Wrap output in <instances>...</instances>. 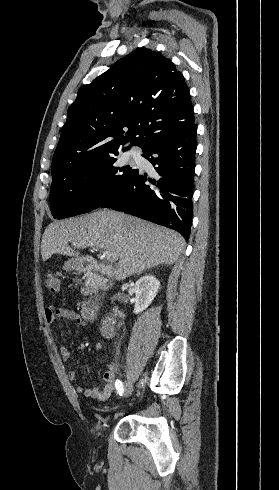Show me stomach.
I'll list each match as a JSON object with an SVG mask.
<instances>
[{
  "mask_svg": "<svg viewBox=\"0 0 279 490\" xmlns=\"http://www.w3.org/2000/svg\"><path fill=\"white\" fill-rule=\"evenodd\" d=\"M63 270H66V272H72V270H78V264L76 260H68V262H65L63 266Z\"/></svg>",
  "mask_w": 279,
  "mask_h": 490,
  "instance_id": "stomach-1",
  "label": "stomach"
}]
</instances>
